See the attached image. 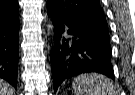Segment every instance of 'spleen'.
<instances>
[{
  "mask_svg": "<svg viewBox=\"0 0 135 95\" xmlns=\"http://www.w3.org/2000/svg\"><path fill=\"white\" fill-rule=\"evenodd\" d=\"M72 87L75 95H116L111 80L100 74H81L74 78Z\"/></svg>",
  "mask_w": 135,
  "mask_h": 95,
  "instance_id": "obj_1",
  "label": "spleen"
}]
</instances>
